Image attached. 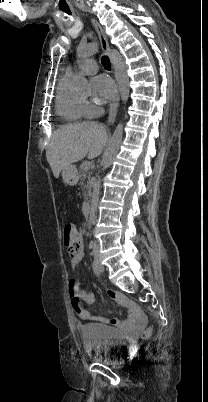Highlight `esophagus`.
I'll return each mask as SVG.
<instances>
[{
	"label": "esophagus",
	"instance_id": "esophagus-1",
	"mask_svg": "<svg viewBox=\"0 0 208 402\" xmlns=\"http://www.w3.org/2000/svg\"><path fill=\"white\" fill-rule=\"evenodd\" d=\"M92 24L94 25V27L96 28V30H97V32L99 34L102 49L107 53V55L109 56L110 62L113 65L110 46H109L108 40L106 38V35L104 34V31H103L102 27L94 19H92ZM119 100H120V96L118 94L116 99L110 105L109 115H108V121L110 123L115 120V117L117 115V110H118V106H119Z\"/></svg>",
	"mask_w": 208,
	"mask_h": 402
}]
</instances>
